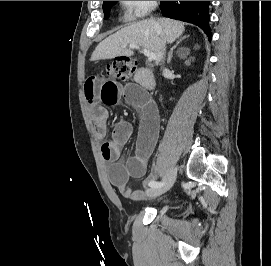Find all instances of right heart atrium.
<instances>
[{"mask_svg": "<svg viewBox=\"0 0 271 266\" xmlns=\"http://www.w3.org/2000/svg\"><path fill=\"white\" fill-rule=\"evenodd\" d=\"M125 16L130 21L142 19L156 6L157 1H121Z\"/></svg>", "mask_w": 271, "mask_h": 266, "instance_id": "right-heart-atrium-1", "label": "right heart atrium"}]
</instances>
